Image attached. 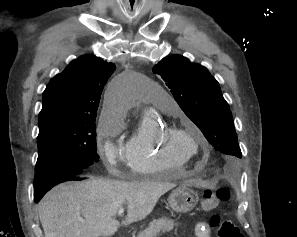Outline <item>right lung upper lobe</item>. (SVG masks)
Wrapping results in <instances>:
<instances>
[{
	"label": "right lung upper lobe",
	"instance_id": "right-lung-upper-lobe-1",
	"mask_svg": "<svg viewBox=\"0 0 297 237\" xmlns=\"http://www.w3.org/2000/svg\"><path fill=\"white\" fill-rule=\"evenodd\" d=\"M115 69V64L91 55L73 61L43 92L39 124L60 117L96 118L101 92Z\"/></svg>",
	"mask_w": 297,
	"mask_h": 237
}]
</instances>
